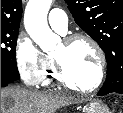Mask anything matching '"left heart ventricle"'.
I'll return each instance as SVG.
<instances>
[{"instance_id": "left-heart-ventricle-1", "label": "left heart ventricle", "mask_w": 123, "mask_h": 113, "mask_svg": "<svg viewBox=\"0 0 123 113\" xmlns=\"http://www.w3.org/2000/svg\"><path fill=\"white\" fill-rule=\"evenodd\" d=\"M53 56L62 63L68 78L80 85L88 86L98 73V59L93 47L86 41H77L70 46L63 42Z\"/></svg>"}]
</instances>
